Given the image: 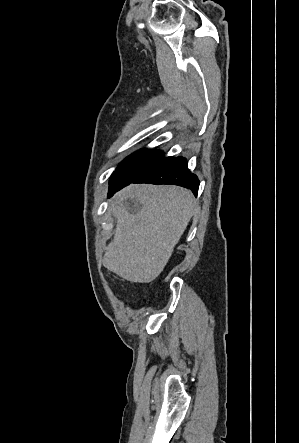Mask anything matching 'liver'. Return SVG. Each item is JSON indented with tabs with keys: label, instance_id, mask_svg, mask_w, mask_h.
I'll return each mask as SVG.
<instances>
[{
	"label": "liver",
	"instance_id": "obj_1",
	"mask_svg": "<svg viewBox=\"0 0 299 443\" xmlns=\"http://www.w3.org/2000/svg\"><path fill=\"white\" fill-rule=\"evenodd\" d=\"M194 196L177 186L135 185L115 196L114 239L104 266L134 283H149L163 271L184 233Z\"/></svg>",
	"mask_w": 299,
	"mask_h": 443
}]
</instances>
